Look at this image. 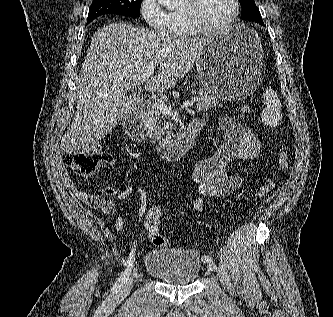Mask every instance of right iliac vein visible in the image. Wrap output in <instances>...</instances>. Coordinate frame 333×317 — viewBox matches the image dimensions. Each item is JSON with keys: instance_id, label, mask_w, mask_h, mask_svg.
<instances>
[{"instance_id": "obj_1", "label": "right iliac vein", "mask_w": 333, "mask_h": 317, "mask_svg": "<svg viewBox=\"0 0 333 317\" xmlns=\"http://www.w3.org/2000/svg\"><path fill=\"white\" fill-rule=\"evenodd\" d=\"M135 274L125 282L122 288L118 291L116 298L124 299L132 290Z\"/></svg>"}]
</instances>
